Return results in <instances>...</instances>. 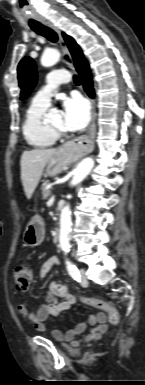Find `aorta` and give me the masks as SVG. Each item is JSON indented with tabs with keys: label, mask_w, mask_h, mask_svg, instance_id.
Returning a JSON list of instances; mask_svg holds the SVG:
<instances>
[{
	"label": "aorta",
	"mask_w": 145,
	"mask_h": 385,
	"mask_svg": "<svg viewBox=\"0 0 145 385\" xmlns=\"http://www.w3.org/2000/svg\"><path fill=\"white\" fill-rule=\"evenodd\" d=\"M60 53L55 49H50L44 52L41 58V64L45 67L53 66L58 62ZM94 160L91 157L84 158L76 167L74 176L71 180V186L80 183L92 170ZM70 231H71V211L69 205H66L61 210L60 215V235L59 242L63 251H68L70 248Z\"/></svg>",
	"instance_id": "aorta-1"
}]
</instances>
